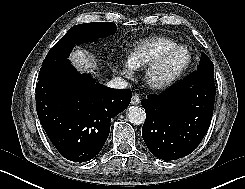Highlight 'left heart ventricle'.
Returning a JSON list of instances; mask_svg holds the SVG:
<instances>
[{
  "label": "left heart ventricle",
  "mask_w": 245,
  "mask_h": 189,
  "mask_svg": "<svg viewBox=\"0 0 245 189\" xmlns=\"http://www.w3.org/2000/svg\"><path fill=\"white\" fill-rule=\"evenodd\" d=\"M186 59L187 54L184 50H177L173 52L168 56L161 69L155 74V77L162 78L170 75L179 69L186 62Z\"/></svg>",
  "instance_id": "obj_1"
}]
</instances>
